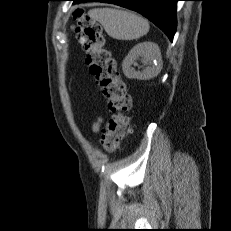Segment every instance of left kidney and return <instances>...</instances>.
Returning a JSON list of instances; mask_svg holds the SVG:
<instances>
[{
    "mask_svg": "<svg viewBox=\"0 0 231 231\" xmlns=\"http://www.w3.org/2000/svg\"><path fill=\"white\" fill-rule=\"evenodd\" d=\"M141 57L147 67L142 71H135L132 65ZM162 69L161 52L157 44L142 42L135 45L125 57L122 63L124 75L129 79L148 80L156 77Z\"/></svg>",
    "mask_w": 231,
    "mask_h": 231,
    "instance_id": "obj_1",
    "label": "left kidney"
}]
</instances>
